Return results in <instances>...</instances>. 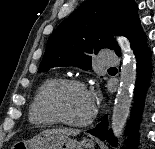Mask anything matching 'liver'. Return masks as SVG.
Masks as SVG:
<instances>
[{
  "instance_id": "6515ba94",
  "label": "liver",
  "mask_w": 155,
  "mask_h": 149,
  "mask_svg": "<svg viewBox=\"0 0 155 149\" xmlns=\"http://www.w3.org/2000/svg\"><path fill=\"white\" fill-rule=\"evenodd\" d=\"M43 133H57V134L76 136L80 133V131L75 129L64 128V129H48L43 131Z\"/></svg>"
}]
</instances>
